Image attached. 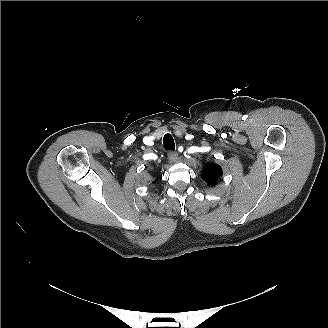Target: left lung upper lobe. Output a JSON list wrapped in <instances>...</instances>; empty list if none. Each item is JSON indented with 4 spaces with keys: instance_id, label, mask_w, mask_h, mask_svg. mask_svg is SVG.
Returning <instances> with one entry per match:
<instances>
[{
    "instance_id": "left-lung-upper-lobe-1",
    "label": "left lung upper lobe",
    "mask_w": 328,
    "mask_h": 328,
    "mask_svg": "<svg viewBox=\"0 0 328 328\" xmlns=\"http://www.w3.org/2000/svg\"><path fill=\"white\" fill-rule=\"evenodd\" d=\"M222 169L217 164H209L205 166L202 179L211 186H215L218 178L222 176Z\"/></svg>"
}]
</instances>
